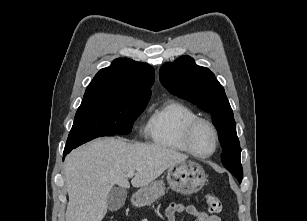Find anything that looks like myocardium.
Returning a JSON list of instances; mask_svg holds the SVG:
<instances>
[{
    "label": "myocardium",
    "instance_id": "f54148a6",
    "mask_svg": "<svg viewBox=\"0 0 307 221\" xmlns=\"http://www.w3.org/2000/svg\"><path fill=\"white\" fill-rule=\"evenodd\" d=\"M201 124L207 126L211 130L214 136V147H213V150L208 154H201L198 151H196L192 143L193 133L195 129ZM182 142L186 150L189 153H191L193 156L197 158H201V159H206L214 155V153L217 151L218 146H219V135H218V131L216 127L211 121L205 118H202V117H196L185 125L183 133H182Z\"/></svg>",
    "mask_w": 307,
    "mask_h": 221
}]
</instances>
